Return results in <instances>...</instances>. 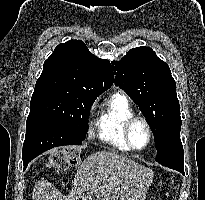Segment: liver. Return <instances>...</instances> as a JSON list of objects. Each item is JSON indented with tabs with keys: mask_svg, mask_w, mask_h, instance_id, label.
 <instances>
[{
	"mask_svg": "<svg viewBox=\"0 0 205 200\" xmlns=\"http://www.w3.org/2000/svg\"><path fill=\"white\" fill-rule=\"evenodd\" d=\"M154 172L115 151H97L78 167L73 187L63 195L52 183H35L33 200H79L85 191L98 200H145Z\"/></svg>",
	"mask_w": 205,
	"mask_h": 200,
	"instance_id": "obj_1",
	"label": "liver"
}]
</instances>
